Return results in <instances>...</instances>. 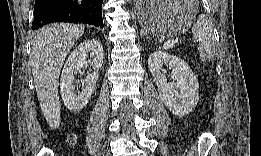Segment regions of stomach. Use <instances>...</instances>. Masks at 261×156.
<instances>
[{"label": "stomach", "mask_w": 261, "mask_h": 156, "mask_svg": "<svg viewBox=\"0 0 261 156\" xmlns=\"http://www.w3.org/2000/svg\"><path fill=\"white\" fill-rule=\"evenodd\" d=\"M196 10L189 2H140L137 16L142 28L157 37H173L191 26Z\"/></svg>", "instance_id": "stomach-1"}]
</instances>
